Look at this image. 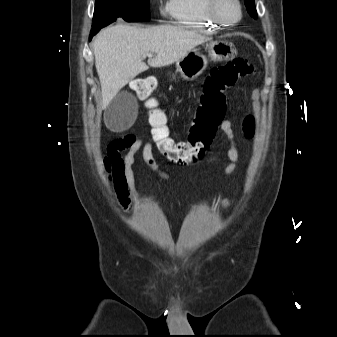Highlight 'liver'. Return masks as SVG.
I'll list each match as a JSON object with an SVG mask.
<instances>
[{"mask_svg": "<svg viewBox=\"0 0 337 337\" xmlns=\"http://www.w3.org/2000/svg\"><path fill=\"white\" fill-rule=\"evenodd\" d=\"M210 38L182 27L161 25L141 28L117 24L102 30L94 41L95 66L106 108L117 93L150 67H164L183 58ZM155 53L142 61L146 53Z\"/></svg>", "mask_w": 337, "mask_h": 337, "instance_id": "obj_1", "label": "liver"}]
</instances>
